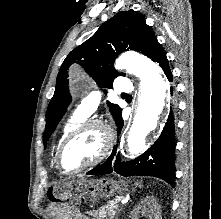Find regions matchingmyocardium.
I'll return each instance as SVG.
<instances>
[{
	"label": "myocardium",
	"instance_id": "obj_1",
	"mask_svg": "<svg viewBox=\"0 0 221 219\" xmlns=\"http://www.w3.org/2000/svg\"><path fill=\"white\" fill-rule=\"evenodd\" d=\"M92 127H97L99 128L102 133H103V146L98 154V156L89 162L88 164L84 165L83 167L77 168L75 170H66L64 169L62 165V155L63 152L66 148V146L81 132L92 128ZM113 142H114V136H113V131L111 127L104 122L101 119H88L77 125L75 128H73L63 139V141L60 143L56 155H55V165L56 168L59 170V172L63 175L71 176L78 174L80 172L86 171L91 169L92 167H95L98 165L100 162H102L106 156L110 153L112 147H113Z\"/></svg>",
	"mask_w": 221,
	"mask_h": 219
}]
</instances>
